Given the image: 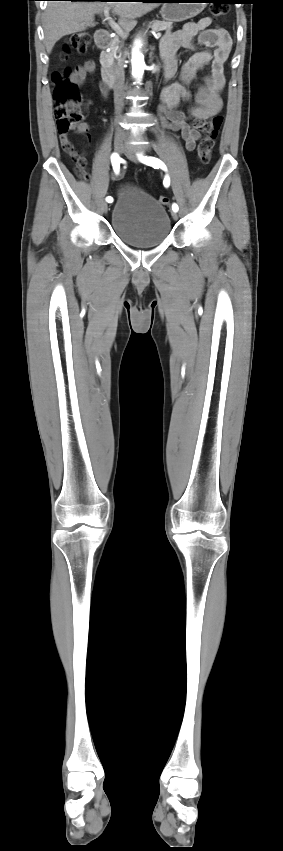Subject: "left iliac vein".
Returning a JSON list of instances; mask_svg holds the SVG:
<instances>
[{
	"instance_id": "1",
	"label": "left iliac vein",
	"mask_w": 283,
	"mask_h": 851,
	"mask_svg": "<svg viewBox=\"0 0 283 851\" xmlns=\"http://www.w3.org/2000/svg\"><path fill=\"white\" fill-rule=\"evenodd\" d=\"M124 153H125V155L127 156V158H128L129 160H131V161H133V162H136V163L138 162V157L135 155V153H134V151H133V150H131V149H129V148H126V149H125V151H124ZM172 218H173L174 220H177V219H178V214H177L176 212H174V211L172 212Z\"/></svg>"
}]
</instances>
